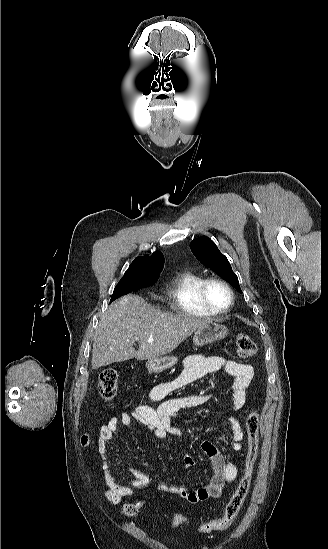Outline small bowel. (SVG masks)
Returning <instances> with one entry per match:
<instances>
[{
    "instance_id": "1",
    "label": "small bowel",
    "mask_w": 328,
    "mask_h": 549,
    "mask_svg": "<svg viewBox=\"0 0 328 549\" xmlns=\"http://www.w3.org/2000/svg\"><path fill=\"white\" fill-rule=\"evenodd\" d=\"M221 369H224L233 377L232 409L238 411L245 404L246 390L254 376L253 367L221 356L193 354L185 358L184 369L178 376L151 389L149 399L152 402H160L156 408L149 405H139L130 412H123L119 416L112 417L102 426L97 441V451L102 460L105 473L106 490L104 491V497L108 504L119 505L123 503L124 499L134 495V489H145L152 481L148 474L132 468H129L131 478L126 482L119 480L114 475L107 456V445L117 436L119 423H122L128 429H132L134 423L138 422L161 440L180 437L181 431L171 424L172 417L180 410L206 404L210 401L211 395L191 394L176 398H168V396L174 391ZM228 422L232 431L233 451L239 452L243 447L242 441L244 439L242 425L233 415L229 416ZM201 449L209 458L214 472L207 485L189 490L179 485L167 486L160 481V487L180 496L191 504L209 498L220 497L225 484L233 482L237 478V465L233 459H225L221 451L209 441H202ZM182 455L186 468L193 467L195 464L193 458L185 451Z\"/></svg>"
}]
</instances>
